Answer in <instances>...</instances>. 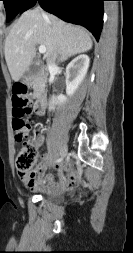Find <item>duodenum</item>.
<instances>
[{"mask_svg": "<svg viewBox=\"0 0 133 253\" xmlns=\"http://www.w3.org/2000/svg\"><path fill=\"white\" fill-rule=\"evenodd\" d=\"M46 80H47L46 73H38L36 77L27 78L28 83L33 84L38 88L37 99L34 104V112L39 116L45 114L47 106V96L43 89Z\"/></svg>", "mask_w": 133, "mask_h": 253, "instance_id": "duodenum-1", "label": "duodenum"}]
</instances>
